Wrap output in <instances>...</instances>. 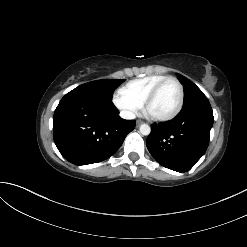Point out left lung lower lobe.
Here are the masks:
<instances>
[{
	"label": "left lung lower lobe",
	"instance_id": "obj_1",
	"mask_svg": "<svg viewBox=\"0 0 247 247\" xmlns=\"http://www.w3.org/2000/svg\"><path fill=\"white\" fill-rule=\"evenodd\" d=\"M213 120L208 99L195 100L171 121L151 125L147 148L162 166L186 172L204 155Z\"/></svg>",
	"mask_w": 247,
	"mask_h": 247
}]
</instances>
